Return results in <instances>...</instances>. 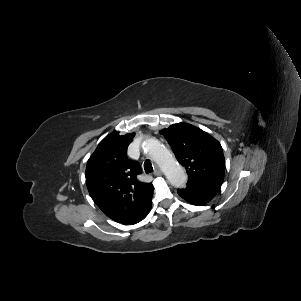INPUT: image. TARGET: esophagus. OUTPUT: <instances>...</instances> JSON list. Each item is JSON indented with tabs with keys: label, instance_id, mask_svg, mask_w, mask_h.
I'll return each mask as SVG.
<instances>
[{
	"label": "esophagus",
	"instance_id": "esophagus-1",
	"mask_svg": "<svg viewBox=\"0 0 301 301\" xmlns=\"http://www.w3.org/2000/svg\"><path fill=\"white\" fill-rule=\"evenodd\" d=\"M153 174H154L155 176H159V175L162 174V170H161L158 166H155V169H154Z\"/></svg>",
	"mask_w": 301,
	"mask_h": 301
}]
</instances>
